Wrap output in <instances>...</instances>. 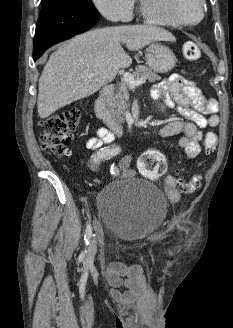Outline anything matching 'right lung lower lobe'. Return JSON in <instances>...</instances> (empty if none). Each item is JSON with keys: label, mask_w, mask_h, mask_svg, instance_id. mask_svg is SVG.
Here are the masks:
<instances>
[{"label": "right lung lower lobe", "mask_w": 233, "mask_h": 328, "mask_svg": "<svg viewBox=\"0 0 233 328\" xmlns=\"http://www.w3.org/2000/svg\"><path fill=\"white\" fill-rule=\"evenodd\" d=\"M99 20L96 9L44 4L38 19L33 59L37 60L52 45L85 32Z\"/></svg>", "instance_id": "right-lung-lower-lobe-1"}]
</instances>
